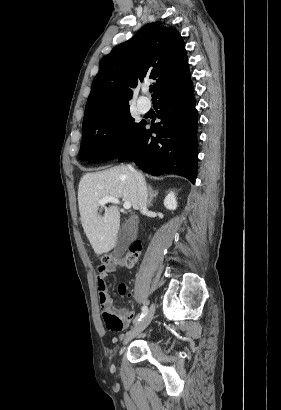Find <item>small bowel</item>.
Wrapping results in <instances>:
<instances>
[{
    "mask_svg": "<svg viewBox=\"0 0 281 410\" xmlns=\"http://www.w3.org/2000/svg\"><path fill=\"white\" fill-rule=\"evenodd\" d=\"M114 270H116L115 265H112V264L99 265L97 267L96 284L98 288V301H99L100 307L102 308L103 312L105 311L112 312L122 319L123 321L122 327L119 330H116V331H121L122 329L127 327L128 324L133 320L134 313L131 311H125V310L116 311L115 307L113 306V301L109 295L108 287L106 284V277L108 276L110 272ZM118 292L122 296L126 295L127 286L121 283L118 286Z\"/></svg>",
    "mask_w": 281,
    "mask_h": 410,
    "instance_id": "1",
    "label": "small bowel"
}]
</instances>
